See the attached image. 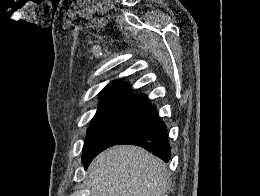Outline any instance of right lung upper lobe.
Here are the masks:
<instances>
[{"label": "right lung upper lobe", "mask_w": 260, "mask_h": 196, "mask_svg": "<svg viewBox=\"0 0 260 196\" xmlns=\"http://www.w3.org/2000/svg\"><path fill=\"white\" fill-rule=\"evenodd\" d=\"M100 106L134 105L146 108L148 99L143 94L132 95L127 82L114 81L107 85L100 93Z\"/></svg>", "instance_id": "1"}]
</instances>
